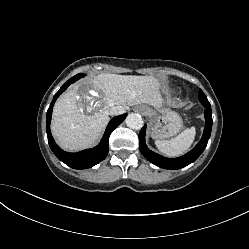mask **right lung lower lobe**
<instances>
[{
    "label": "right lung lower lobe",
    "mask_w": 249,
    "mask_h": 249,
    "mask_svg": "<svg viewBox=\"0 0 249 249\" xmlns=\"http://www.w3.org/2000/svg\"><path fill=\"white\" fill-rule=\"evenodd\" d=\"M84 77L82 74H77L71 79H69L61 88L60 90L55 94L50 107L47 111V120H46V132L48 136V143L53 151V153L56 155V157L67 164L69 167L74 169H87L90 168L102 160L105 159V157L108 154L109 151V137L110 134L116 127H118L126 118L127 114L119 115L114 117L108 124L106 131L103 135V138L99 145L92 149L83 150L77 153H68L63 151L61 148L58 147V145L55 143L51 131H50V122H51V116H52V109L53 105L56 101V99L66 90V88L77 81L78 79Z\"/></svg>",
    "instance_id": "obj_1"
}]
</instances>
